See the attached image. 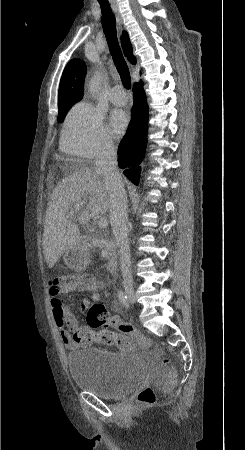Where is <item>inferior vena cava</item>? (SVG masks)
<instances>
[{"label":"inferior vena cava","instance_id":"inferior-vena-cava-1","mask_svg":"<svg viewBox=\"0 0 245 450\" xmlns=\"http://www.w3.org/2000/svg\"><path fill=\"white\" fill-rule=\"evenodd\" d=\"M96 171L103 175L110 193V223L119 247L120 266L124 284H132L130 248L128 241L127 195L117 169V154L111 141H105L95 160Z\"/></svg>","mask_w":245,"mask_h":450}]
</instances>
